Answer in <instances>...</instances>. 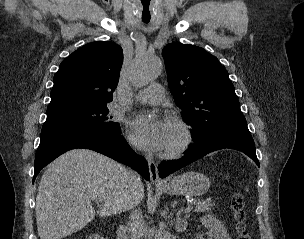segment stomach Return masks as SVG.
<instances>
[{
    "mask_svg": "<svg viewBox=\"0 0 304 239\" xmlns=\"http://www.w3.org/2000/svg\"><path fill=\"white\" fill-rule=\"evenodd\" d=\"M209 187L210 180L205 174L190 171L174 177L163 189L169 194L193 197L203 195Z\"/></svg>",
    "mask_w": 304,
    "mask_h": 239,
    "instance_id": "0dacf381",
    "label": "stomach"
}]
</instances>
